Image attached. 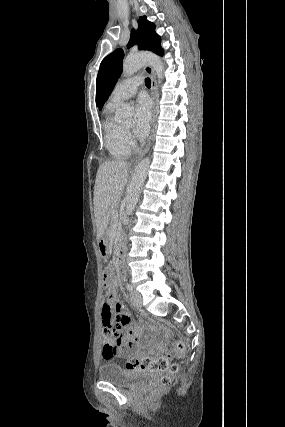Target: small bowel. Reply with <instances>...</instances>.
<instances>
[{
	"mask_svg": "<svg viewBox=\"0 0 285 427\" xmlns=\"http://www.w3.org/2000/svg\"><path fill=\"white\" fill-rule=\"evenodd\" d=\"M101 320L103 327L117 324L120 329H124L122 333L121 345L117 353L122 354L123 351L129 349L126 341L133 340L137 336V330L133 327L130 317L125 313L124 306L117 301V295L109 303H102Z\"/></svg>",
	"mask_w": 285,
	"mask_h": 427,
	"instance_id": "1",
	"label": "small bowel"
}]
</instances>
